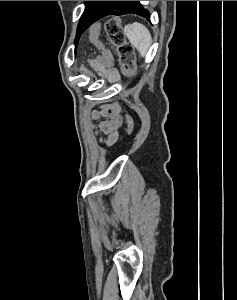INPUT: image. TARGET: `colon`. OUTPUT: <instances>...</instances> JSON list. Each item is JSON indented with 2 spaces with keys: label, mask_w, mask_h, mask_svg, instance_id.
<instances>
[{
  "label": "colon",
  "mask_w": 237,
  "mask_h": 300,
  "mask_svg": "<svg viewBox=\"0 0 237 300\" xmlns=\"http://www.w3.org/2000/svg\"><path fill=\"white\" fill-rule=\"evenodd\" d=\"M106 36L109 42L113 45L115 54L120 64L123 75L130 79L134 73L135 54L132 45L126 40L121 21L118 17H110L104 25ZM100 26L92 25L90 29L91 41L99 47H102L100 42ZM112 62L110 53L103 50L102 54L96 59L95 63L101 67H108ZM127 132L132 133L134 122L131 115L125 112Z\"/></svg>",
  "instance_id": "5ec220e1"
}]
</instances>
